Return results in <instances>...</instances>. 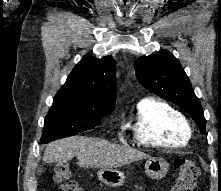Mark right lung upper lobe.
<instances>
[{
  "mask_svg": "<svg viewBox=\"0 0 221 191\" xmlns=\"http://www.w3.org/2000/svg\"><path fill=\"white\" fill-rule=\"evenodd\" d=\"M114 59L85 55L57 92L52 106H75L108 112L115 108Z\"/></svg>",
  "mask_w": 221,
  "mask_h": 191,
  "instance_id": "right-lung-upper-lobe-1",
  "label": "right lung upper lobe"
}]
</instances>
